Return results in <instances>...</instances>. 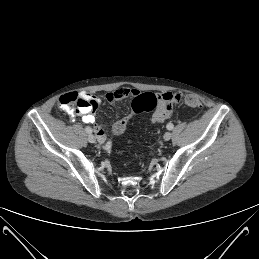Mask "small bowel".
I'll use <instances>...</instances> for the list:
<instances>
[{
  "instance_id": "small-bowel-1",
  "label": "small bowel",
  "mask_w": 259,
  "mask_h": 259,
  "mask_svg": "<svg viewBox=\"0 0 259 259\" xmlns=\"http://www.w3.org/2000/svg\"><path fill=\"white\" fill-rule=\"evenodd\" d=\"M139 94L136 89L127 87H119L106 94L105 99L109 103L135 97ZM179 95L171 92H163L158 95V105L156 110L152 114L151 120L153 123H162L167 120L172 114V106L179 100ZM100 104V99L89 93H67L59 98V106L63 111L69 112L71 115L81 116L82 121L94 126V132L100 143H104L106 140V133L102 125L96 124V119L92 114ZM74 105L78 106L76 111H72ZM122 120V119H121ZM120 121V120H119ZM108 148V146H106Z\"/></svg>"
}]
</instances>
